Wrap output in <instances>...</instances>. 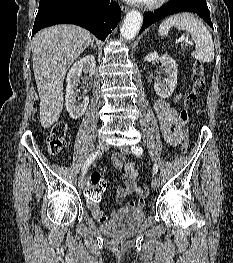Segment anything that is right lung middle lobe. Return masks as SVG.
<instances>
[{"instance_id":"right-lung-middle-lobe-1","label":"right lung middle lobe","mask_w":233,"mask_h":263,"mask_svg":"<svg viewBox=\"0 0 233 263\" xmlns=\"http://www.w3.org/2000/svg\"><path fill=\"white\" fill-rule=\"evenodd\" d=\"M74 2L76 0H40L39 2V10L45 9L46 7L57 3V2Z\"/></svg>"}]
</instances>
